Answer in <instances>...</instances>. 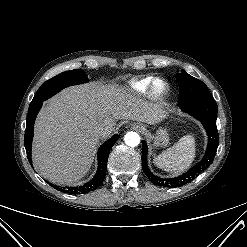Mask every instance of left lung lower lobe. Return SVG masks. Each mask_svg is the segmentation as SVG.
Returning <instances> with one entry per match:
<instances>
[{
    "label": "left lung lower lobe",
    "instance_id": "1",
    "mask_svg": "<svg viewBox=\"0 0 247 247\" xmlns=\"http://www.w3.org/2000/svg\"><path fill=\"white\" fill-rule=\"evenodd\" d=\"M179 107L184 112L191 114L196 119L201 121L208 135L207 149L202 160L185 174L175 178L163 179L153 175L152 172H150L146 162L147 145L145 141H142V169L146 176L154 184L159 186L179 187L191 182L213 162L216 155L219 135L216 128L218 107L215 100L213 98L196 100L185 104H180Z\"/></svg>",
    "mask_w": 247,
    "mask_h": 247
}]
</instances>
